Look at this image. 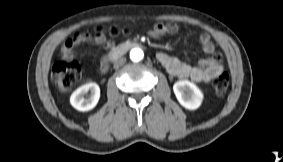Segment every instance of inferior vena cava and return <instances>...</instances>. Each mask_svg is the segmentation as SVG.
Returning a JSON list of instances; mask_svg holds the SVG:
<instances>
[{
	"instance_id": "602c4592",
	"label": "inferior vena cava",
	"mask_w": 283,
	"mask_h": 162,
	"mask_svg": "<svg viewBox=\"0 0 283 162\" xmlns=\"http://www.w3.org/2000/svg\"><path fill=\"white\" fill-rule=\"evenodd\" d=\"M125 62H126V59L124 57H120L117 60H115L114 67L119 68L120 66L124 65Z\"/></svg>"
}]
</instances>
